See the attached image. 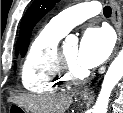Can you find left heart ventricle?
Returning <instances> with one entry per match:
<instances>
[{"label":"left heart ventricle","instance_id":"b2bd125f","mask_svg":"<svg viewBox=\"0 0 123 113\" xmlns=\"http://www.w3.org/2000/svg\"><path fill=\"white\" fill-rule=\"evenodd\" d=\"M64 53L69 61V63L76 69L78 70H83L84 68H82L78 63H77V51L78 48L76 45L73 46H67L64 48Z\"/></svg>","mask_w":123,"mask_h":113}]
</instances>
